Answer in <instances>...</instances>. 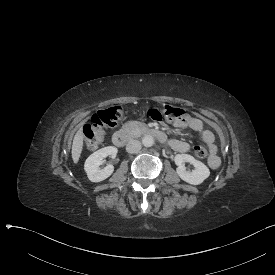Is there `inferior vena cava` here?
Returning a JSON list of instances; mask_svg holds the SVG:
<instances>
[{"instance_id":"inferior-vena-cava-1","label":"inferior vena cava","mask_w":275,"mask_h":275,"mask_svg":"<svg viewBox=\"0 0 275 275\" xmlns=\"http://www.w3.org/2000/svg\"><path fill=\"white\" fill-rule=\"evenodd\" d=\"M141 150V142L138 140H131L126 145V151L128 153H136Z\"/></svg>"}]
</instances>
